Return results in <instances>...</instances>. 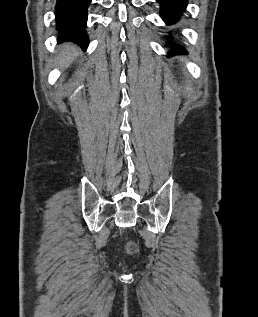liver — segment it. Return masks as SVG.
Listing matches in <instances>:
<instances>
[{
  "mask_svg": "<svg viewBox=\"0 0 258 317\" xmlns=\"http://www.w3.org/2000/svg\"><path fill=\"white\" fill-rule=\"evenodd\" d=\"M77 54H79L77 46H74V44H64L59 52L58 64L60 66H69Z\"/></svg>",
  "mask_w": 258,
  "mask_h": 317,
  "instance_id": "6515ba94",
  "label": "liver"
}]
</instances>
